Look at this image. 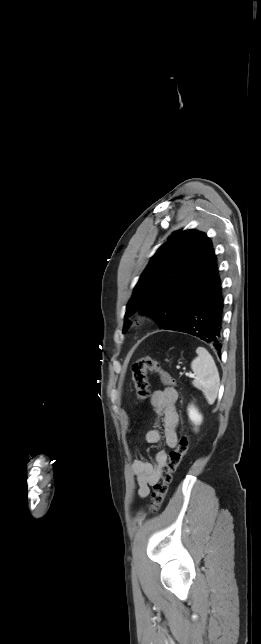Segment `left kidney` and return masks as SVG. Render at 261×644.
<instances>
[{"instance_id":"5707ae66","label":"left kidney","mask_w":261,"mask_h":644,"mask_svg":"<svg viewBox=\"0 0 261 644\" xmlns=\"http://www.w3.org/2000/svg\"><path fill=\"white\" fill-rule=\"evenodd\" d=\"M188 416L191 422L194 425H200L202 422V415L199 413L198 409L194 407L193 405H190L188 407Z\"/></svg>"}]
</instances>
